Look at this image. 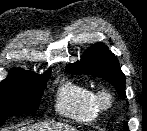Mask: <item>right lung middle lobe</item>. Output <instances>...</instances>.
Wrapping results in <instances>:
<instances>
[{
	"instance_id": "right-lung-middle-lobe-1",
	"label": "right lung middle lobe",
	"mask_w": 147,
	"mask_h": 131,
	"mask_svg": "<svg viewBox=\"0 0 147 131\" xmlns=\"http://www.w3.org/2000/svg\"><path fill=\"white\" fill-rule=\"evenodd\" d=\"M49 75L8 76L1 82L0 126L10 115L37 111Z\"/></svg>"
}]
</instances>
